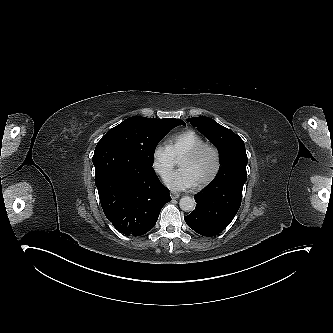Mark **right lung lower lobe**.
<instances>
[{"mask_svg":"<svg viewBox=\"0 0 333 333\" xmlns=\"http://www.w3.org/2000/svg\"><path fill=\"white\" fill-rule=\"evenodd\" d=\"M93 164L100 202L112 225L129 236L151 230L162 207L171 200L154 169L114 139L98 142Z\"/></svg>","mask_w":333,"mask_h":333,"instance_id":"right-lung-lower-lobe-1","label":"right lung lower lobe"}]
</instances>
